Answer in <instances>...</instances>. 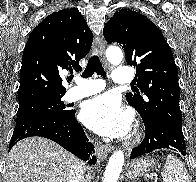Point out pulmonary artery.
I'll list each match as a JSON object with an SVG mask.
<instances>
[{
    "mask_svg": "<svg viewBox=\"0 0 196 182\" xmlns=\"http://www.w3.org/2000/svg\"><path fill=\"white\" fill-rule=\"evenodd\" d=\"M113 82L118 85H129L133 82L134 74L130 68L119 67L113 73ZM77 85L72 87L68 93V99L75 101L102 91L105 88L101 79L78 78Z\"/></svg>",
    "mask_w": 196,
    "mask_h": 182,
    "instance_id": "e3ab8cb5",
    "label": "pulmonary artery"
}]
</instances>
